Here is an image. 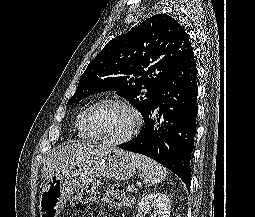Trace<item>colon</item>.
Segmentation results:
<instances>
[{
    "instance_id": "colon-1",
    "label": "colon",
    "mask_w": 255,
    "mask_h": 217,
    "mask_svg": "<svg viewBox=\"0 0 255 217\" xmlns=\"http://www.w3.org/2000/svg\"><path fill=\"white\" fill-rule=\"evenodd\" d=\"M74 204L105 203L112 208L128 207L131 198L123 188L105 181L83 188L74 198Z\"/></svg>"
}]
</instances>
